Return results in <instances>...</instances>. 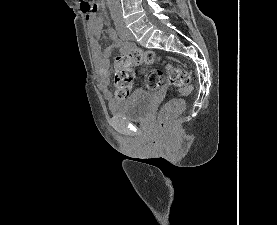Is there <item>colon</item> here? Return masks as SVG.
<instances>
[{
  "label": "colon",
  "mask_w": 277,
  "mask_h": 225,
  "mask_svg": "<svg viewBox=\"0 0 277 225\" xmlns=\"http://www.w3.org/2000/svg\"><path fill=\"white\" fill-rule=\"evenodd\" d=\"M81 9L87 14L95 13L98 5L93 0H81ZM161 57L152 50L135 49L127 54L117 56L115 59L114 87L116 97L125 99L129 96L134 80L133 67L137 65H151L159 62ZM166 76L172 87L179 89L183 95H189L193 91L190 83L189 72L179 66L169 65ZM161 70H151L145 77V86L148 90H158L166 78ZM186 106L182 97L168 101L160 110L158 122L161 128L168 127L170 121L180 114Z\"/></svg>",
  "instance_id": "5ec220e1"
}]
</instances>
